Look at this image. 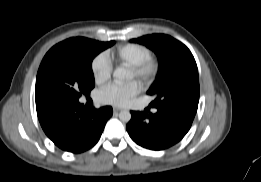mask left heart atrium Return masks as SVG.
Masks as SVG:
<instances>
[{"label": "left heart atrium", "mask_w": 261, "mask_h": 182, "mask_svg": "<svg viewBox=\"0 0 261 182\" xmlns=\"http://www.w3.org/2000/svg\"><path fill=\"white\" fill-rule=\"evenodd\" d=\"M140 90L141 86L136 81L125 85L110 84L98 92L97 98L103 104L125 106Z\"/></svg>", "instance_id": "left-heart-atrium-1"}]
</instances>
